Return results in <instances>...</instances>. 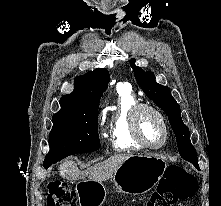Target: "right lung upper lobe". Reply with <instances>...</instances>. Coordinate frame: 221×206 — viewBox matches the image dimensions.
I'll list each match as a JSON object with an SVG mask.
<instances>
[{"label": "right lung upper lobe", "instance_id": "cb5924a9", "mask_svg": "<svg viewBox=\"0 0 221 206\" xmlns=\"http://www.w3.org/2000/svg\"><path fill=\"white\" fill-rule=\"evenodd\" d=\"M110 81L105 68L90 71L74 80V91L60 99L59 112H71L99 107V101Z\"/></svg>", "mask_w": 221, "mask_h": 206}]
</instances>
